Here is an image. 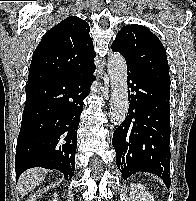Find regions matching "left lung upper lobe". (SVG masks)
<instances>
[{
  "label": "left lung upper lobe",
  "mask_w": 196,
  "mask_h": 201,
  "mask_svg": "<svg viewBox=\"0 0 196 201\" xmlns=\"http://www.w3.org/2000/svg\"><path fill=\"white\" fill-rule=\"evenodd\" d=\"M111 48L124 56L127 68L170 86L166 51L148 28L137 24L121 28Z\"/></svg>",
  "instance_id": "obj_1"
}]
</instances>
